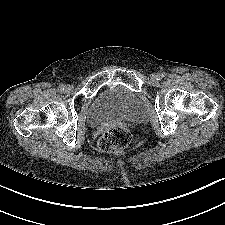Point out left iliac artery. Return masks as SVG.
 I'll use <instances>...</instances> for the list:
<instances>
[{"instance_id": "left-iliac-artery-1", "label": "left iliac artery", "mask_w": 225, "mask_h": 225, "mask_svg": "<svg viewBox=\"0 0 225 225\" xmlns=\"http://www.w3.org/2000/svg\"><path fill=\"white\" fill-rule=\"evenodd\" d=\"M163 77H165V74L161 73L159 78H163Z\"/></svg>"}]
</instances>
